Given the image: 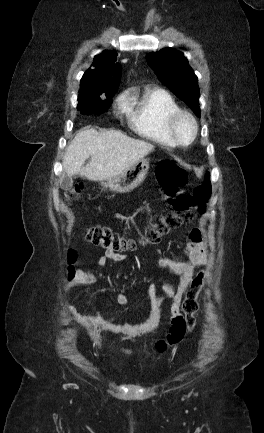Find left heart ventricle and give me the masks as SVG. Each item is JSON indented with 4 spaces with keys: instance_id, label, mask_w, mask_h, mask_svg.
Listing matches in <instances>:
<instances>
[{
    "instance_id": "1",
    "label": "left heart ventricle",
    "mask_w": 264,
    "mask_h": 433,
    "mask_svg": "<svg viewBox=\"0 0 264 433\" xmlns=\"http://www.w3.org/2000/svg\"><path fill=\"white\" fill-rule=\"evenodd\" d=\"M177 134L183 141H188L193 133V127L189 120L181 119L176 127Z\"/></svg>"
}]
</instances>
